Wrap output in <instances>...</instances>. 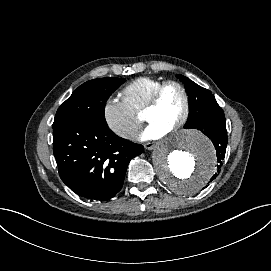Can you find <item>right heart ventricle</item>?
<instances>
[{"instance_id":"obj_1","label":"right heart ventricle","mask_w":271,"mask_h":271,"mask_svg":"<svg viewBox=\"0 0 271 271\" xmlns=\"http://www.w3.org/2000/svg\"><path fill=\"white\" fill-rule=\"evenodd\" d=\"M162 81H164L162 78L143 76L127 84L122 93L130 109L139 115L143 114L154 90Z\"/></svg>"}]
</instances>
